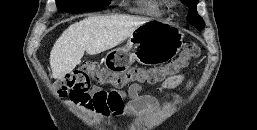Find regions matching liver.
Instances as JSON below:
<instances>
[{"instance_id": "6515ba94", "label": "liver", "mask_w": 257, "mask_h": 130, "mask_svg": "<svg viewBox=\"0 0 257 130\" xmlns=\"http://www.w3.org/2000/svg\"><path fill=\"white\" fill-rule=\"evenodd\" d=\"M149 18L129 15L93 16L70 25L56 40L50 52L54 78H63L81 62L86 51L99 54L129 38Z\"/></svg>"}]
</instances>
